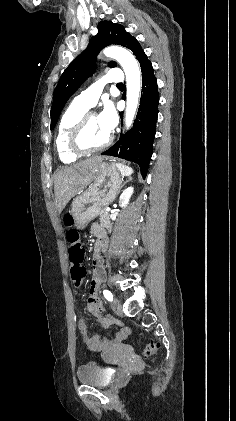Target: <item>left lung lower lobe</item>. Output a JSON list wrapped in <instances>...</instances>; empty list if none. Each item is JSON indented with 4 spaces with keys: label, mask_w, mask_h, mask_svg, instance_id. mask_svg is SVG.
Segmentation results:
<instances>
[{
    "label": "left lung lower lobe",
    "mask_w": 236,
    "mask_h": 421,
    "mask_svg": "<svg viewBox=\"0 0 236 421\" xmlns=\"http://www.w3.org/2000/svg\"><path fill=\"white\" fill-rule=\"evenodd\" d=\"M142 71V93L140 105L132 129L121 135L112 147L101 155L116 156L133 161L140 166L141 175L145 179L149 161L153 152V141L156 133L159 93L153 67L141 46L133 51ZM121 118H122V114Z\"/></svg>",
    "instance_id": "1"
}]
</instances>
